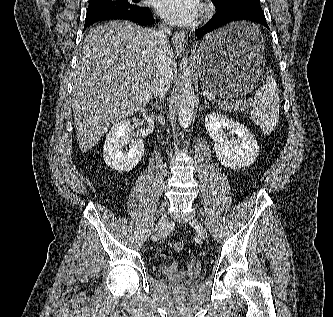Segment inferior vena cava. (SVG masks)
<instances>
[{
	"mask_svg": "<svg viewBox=\"0 0 333 317\" xmlns=\"http://www.w3.org/2000/svg\"><path fill=\"white\" fill-rule=\"evenodd\" d=\"M171 35V31L168 28L162 27L157 31H154V36L157 39L159 52L166 53L168 49V36ZM165 58L163 57L158 64V73L153 83V94L157 98H165V95L170 87V80L168 75L164 71Z\"/></svg>",
	"mask_w": 333,
	"mask_h": 317,
	"instance_id": "602c4592",
	"label": "inferior vena cava"
}]
</instances>
